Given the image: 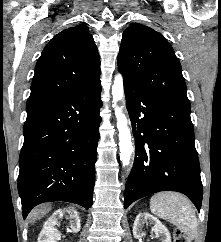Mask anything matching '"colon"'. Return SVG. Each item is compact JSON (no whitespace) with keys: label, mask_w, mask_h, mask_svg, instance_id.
Here are the masks:
<instances>
[{"label":"colon","mask_w":221,"mask_h":242,"mask_svg":"<svg viewBox=\"0 0 221 242\" xmlns=\"http://www.w3.org/2000/svg\"><path fill=\"white\" fill-rule=\"evenodd\" d=\"M173 238L174 242H190L189 238L182 230H175Z\"/></svg>","instance_id":"5ec220e1"}]
</instances>
